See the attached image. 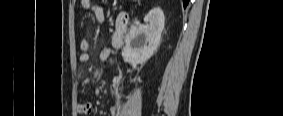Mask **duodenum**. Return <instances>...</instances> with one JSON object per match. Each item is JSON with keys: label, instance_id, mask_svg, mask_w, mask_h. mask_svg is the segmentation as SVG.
Wrapping results in <instances>:
<instances>
[{"label": "duodenum", "instance_id": "1", "mask_svg": "<svg viewBox=\"0 0 283 116\" xmlns=\"http://www.w3.org/2000/svg\"><path fill=\"white\" fill-rule=\"evenodd\" d=\"M128 27L129 14L126 11H121L116 19L115 40L113 43L115 49H121L123 47Z\"/></svg>", "mask_w": 283, "mask_h": 116}]
</instances>
